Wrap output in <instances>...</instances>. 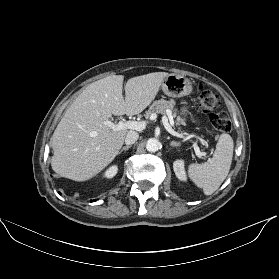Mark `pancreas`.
Here are the masks:
<instances>
[{
    "label": "pancreas",
    "instance_id": "obj_1",
    "mask_svg": "<svg viewBox=\"0 0 279 279\" xmlns=\"http://www.w3.org/2000/svg\"><path fill=\"white\" fill-rule=\"evenodd\" d=\"M175 101L174 100H156L152 103V105L149 107V109L145 112V116H151L154 113H161V114H168V112H174L173 115L176 116V112L174 109ZM181 121L180 117H177V123Z\"/></svg>",
    "mask_w": 279,
    "mask_h": 279
}]
</instances>
